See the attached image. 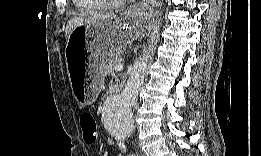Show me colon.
Segmentation results:
<instances>
[{"mask_svg":"<svg viewBox=\"0 0 261 156\" xmlns=\"http://www.w3.org/2000/svg\"><path fill=\"white\" fill-rule=\"evenodd\" d=\"M79 123L85 143L93 145L98 135L97 122L94 116L89 112H82L79 116Z\"/></svg>","mask_w":261,"mask_h":156,"instance_id":"colon-1","label":"colon"}]
</instances>
